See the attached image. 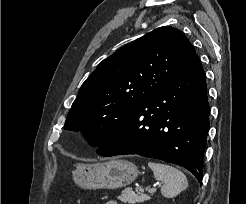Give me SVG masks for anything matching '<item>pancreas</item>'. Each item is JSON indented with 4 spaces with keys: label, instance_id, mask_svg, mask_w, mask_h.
I'll use <instances>...</instances> for the list:
<instances>
[{
    "label": "pancreas",
    "instance_id": "1",
    "mask_svg": "<svg viewBox=\"0 0 246 204\" xmlns=\"http://www.w3.org/2000/svg\"><path fill=\"white\" fill-rule=\"evenodd\" d=\"M117 199L122 201L123 203L135 204V203L147 201L150 199V197L148 195H145V194L129 195V193L124 192L121 196H118Z\"/></svg>",
    "mask_w": 246,
    "mask_h": 204
}]
</instances>
